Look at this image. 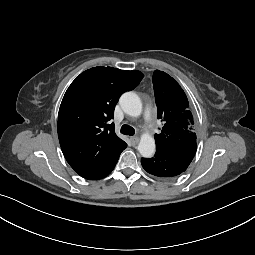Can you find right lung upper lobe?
Listing matches in <instances>:
<instances>
[{
  "label": "right lung upper lobe",
  "instance_id": "obj_1",
  "mask_svg": "<svg viewBox=\"0 0 255 255\" xmlns=\"http://www.w3.org/2000/svg\"><path fill=\"white\" fill-rule=\"evenodd\" d=\"M140 71L94 67L67 89L58 114L63 155L81 177L94 179L114 164L127 144L114 131L115 105L142 80Z\"/></svg>",
  "mask_w": 255,
  "mask_h": 255
}]
</instances>
